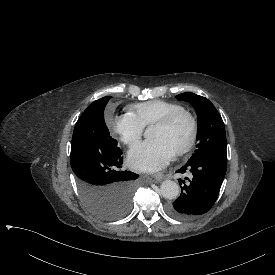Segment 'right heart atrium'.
<instances>
[{
  "label": "right heart atrium",
  "mask_w": 275,
  "mask_h": 275,
  "mask_svg": "<svg viewBox=\"0 0 275 275\" xmlns=\"http://www.w3.org/2000/svg\"><path fill=\"white\" fill-rule=\"evenodd\" d=\"M111 132L129 150H132L139 145L144 127L132 115H122L112 120Z\"/></svg>",
  "instance_id": "right-heart-atrium-1"
}]
</instances>
